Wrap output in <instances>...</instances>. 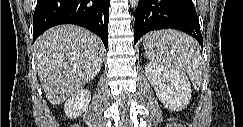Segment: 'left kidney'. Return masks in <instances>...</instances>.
Returning a JSON list of instances; mask_svg holds the SVG:
<instances>
[{
	"mask_svg": "<svg viewBox=\"0 0 243 127\" xmlns=\"http://www.w3.org/2000/svg\"><path fill=\"white\" fill-rule=\"evenodd\" d=\"M146 76L161 103L171 111L184 109L191 99V85L187 75L177 68H165L155 63L145 66Z\"/></svg>",
	"mask_w": 243,
	"mask_h": 127,
	"instance_id": "left-kidney-1",
	"label": "left kidney"
}]
</instances>
